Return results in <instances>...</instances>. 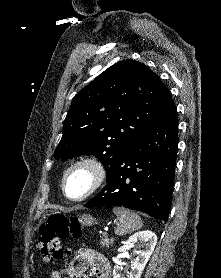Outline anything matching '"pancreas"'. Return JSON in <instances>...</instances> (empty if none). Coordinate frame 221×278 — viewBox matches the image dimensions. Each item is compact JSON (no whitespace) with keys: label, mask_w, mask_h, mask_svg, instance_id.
Listing matches in <instances>:
<instances>
[{"label":"pancreas","mask_w":221,"mask_h":278,"mask_svg":"<svg viewBox=\"0 0 221 278\" xmlns=\"http://www.w3.org/2000/svg\"><path fill=\"white\" fill-rule=\"evenodd\" d=\"M114 243L113 238H109L107 234H103L100 238V245L101 247H109Z\"/></svg>","instance_id":"pancreas-1"}]
</instances>
